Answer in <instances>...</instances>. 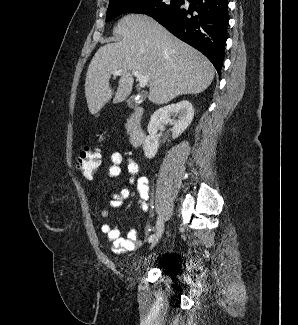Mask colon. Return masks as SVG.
I'll return each instance as SVG.
<instances>
[{"label": "colon", "mask_w": 298, "mask_h": 325, "mask_svg": "<svg viewBox=\"0 0 298 325\" xmlns=\"http://www.w3.org/2000/svg\"><path fill=\"white\" fill-rule=\"evenodd\" d=\"M101 153L99 149L83 147L77 156V169L86 179H92L99 166Z\"/></svg>", "instance_id": "5ec220e1"}]
</instances>
